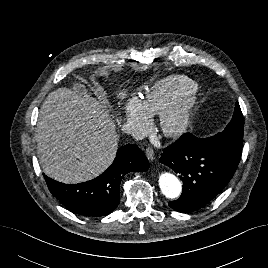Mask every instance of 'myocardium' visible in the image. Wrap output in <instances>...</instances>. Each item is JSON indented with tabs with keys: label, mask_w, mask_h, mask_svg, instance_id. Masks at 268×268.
Wrapping results in <instances>:
<instances>
[{
	"label": "myocardium",
	"mask_w": 268,
	"mask_h": 268,
	"mask_svg": "<svg viewBox=\"0 0 268 268\" xmlns=\"http://www.w3.org/2000/svg\"><path fill=\"white\" fill-rule=\"evenodd\" d=\"M198 103L195 87L177 96L160 114L159 127L167 137H178L185 133L192 123Z\"/></svg>",
	"instance_id": "1"
}]
</instances>
